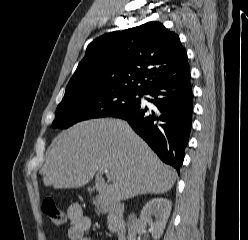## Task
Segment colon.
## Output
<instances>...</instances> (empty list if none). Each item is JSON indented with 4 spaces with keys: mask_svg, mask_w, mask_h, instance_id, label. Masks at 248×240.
Returning <instances> with one entry per match:
<instances>
[{
    "mask_svg": "<svg viewBox=\"0 0 248 240\" xmlns=\"http://www.w3.org/2000/svg\"><path fill=\"white\" fill-rule=\"evenodd\" d=\"M44 213L56 226H62L66 222L65 213L56 205L52 199H47L42 205Z\"/></svg>",
    "mask_w": 248,
    "mask_h": 240,
    "instance_id": "1",
    "label": "colon"
}]
</instances>
